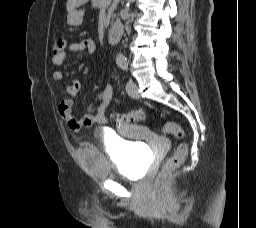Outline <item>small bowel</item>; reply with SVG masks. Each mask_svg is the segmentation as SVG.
Wrapping results in <instances>:
<instances>
[{"instance_id": "1", "label": "small bowel", "mask_w": 256, "mask_h": 228, "mask_svg": "<svg viewBox=\"0 0 256 228\" xmlns=\"http://www.w3.org/2000/svg\"><path fill=\"white\" fill-rule=\"evenodd\" d=\"M68 51L72 53H93L95 51V43L91 38H84L70 44ZM66 58V50L56 54L54 53L52 56V64L57 68L52 74V79L55 83L63 80V73L59 68L62 67ZM80 89L81 82L78 79H73L67 86V93L71 97H74L79 93ZM112 94V84H106L96 94L93 102L88 107V111L80 117L72 115V99L62 98L58 103V113L72 131H79L82 128L105 124L107 119L104 115V107L112 97Z\"/></svg>"}]
</instances>
